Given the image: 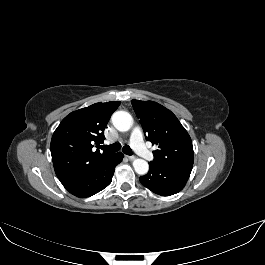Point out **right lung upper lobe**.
I'll return each mask as SVG.
<instances>
[{
	"instance_id": "cb5924a9",
	"label": "right lung upper lobe",
	"mask_w": 265,
	"mask_h": 265,
	"mask_svg": "<svg viewBox=\"0 0 265 265\" xmlns=\"http://www.w3.org/2000/svg\"><path fill=\"white\" fill-rule=\"evenodd\" d=\"M120 102L95 103L68 114L51 139V156L55 173L62 184L90 170L112 155L93 151L94 144L103 143L104 130Z\"/></svg>"
}]
</instances>
